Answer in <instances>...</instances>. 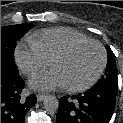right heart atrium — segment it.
I'll return each instance as SVG.
<instances>
[{
  "label": "right heart atrium",
  "instance_id": "right-heart-atrium-1",
  "mask_svg": "<svg viewBox=\"0 0 123 123\" xmlns=\"http://www.w3.org/2000/svg\"><path fill=\"white\" fill-rule=\"evenodd\" d=\"M14 58L20 72L28 77L46 67L49 61L30 41L21 42L17 45Z\"/></svg>",
  "mask_w": 123,
  "mask_h": 123
}]
</instances>
